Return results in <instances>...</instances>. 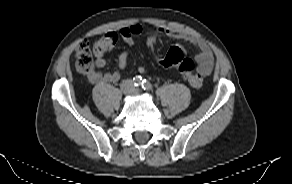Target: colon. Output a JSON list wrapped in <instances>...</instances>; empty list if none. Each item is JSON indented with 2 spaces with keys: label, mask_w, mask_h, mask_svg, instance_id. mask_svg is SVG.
Returning a JSON list of instances; mask_svg holds the SVG:
<instances>
[{
  "label": "colon",
  "mask_w": 292,
  "mask_h": 184,
  "mask_svg": "<svg viewBox=\"0 0 292 184\" xmlns=\"http://www.w3.org/2000/svg\"><path fill=\"white\" fill-rule=\"evenodd\" d=\"M159 35L160 30L156 28H152L147 32L146 44L152 53L158 50ZM117 39V34L110 32L98 38L93 43L92 48L87 41L80 42L75 51V61L78 70L83 73L93 71L95 67V57L103 55L111 50L116 44ZM158 62L163 67H177L181 75L192 87L200 88L202 86V76L194 73V63L190 58L185 56L181 47H171L165 56L158 58Z\"/></svg>",
  "instance_id": "1"
}]
</instances>
